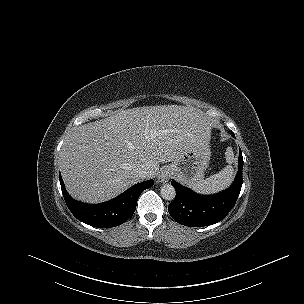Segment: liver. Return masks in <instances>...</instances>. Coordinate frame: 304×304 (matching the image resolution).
Returning <instances> with one entry per match:
<instances>
[{"instance_id": "1", "label": "liver", "mask_w": 304, "mask_h": 304, "mask_svg": "<svg viewBox=\"0 0 304 304\" xmlns=\"http://www.w3.org/2000/svg\"><path fill=\"white\" fill-rule=\"evenodd\" d=\"M210 137V120L188 107L121 110L77 127L64 143L60 171L74 199L100 203L140 182L137 168L154 178L160 163L178 159L191 147H208Z\"/></svg>"}]
</instances>
